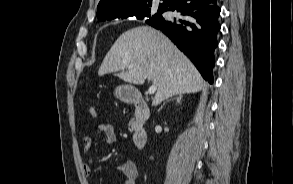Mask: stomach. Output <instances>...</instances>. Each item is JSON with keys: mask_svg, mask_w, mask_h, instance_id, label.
<instances>
[{"mask_svg": "<svg viewBox=\"0 0 293 184\" xmlns=\"http://www.w3.org/2000/svg\"><path fill=\"white\" fill-rule=\"evenodd\" d=\"M115 95L121 101L130 103L139 96V92L135 87L131 85H121L115 89Z\"/></svg>", "mask_w": 293, "mask_h": 184, "instance_id": "stomach-1", "label": "stomach"}]
</instances>
